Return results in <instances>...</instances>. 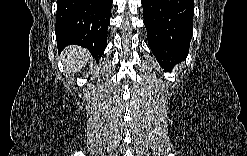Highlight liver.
<instances>
[{
	"instance_id": "obj_1",
	"label": "liver",
	"mask_w": 247,
	"mask_h": 156,
	"mask_svg": "<svg viewBox=\"0 0 247 156\" xmlns=\"http://www.w3.org/2000/svg\"><path fill=\"white\" fill-rule=\"evenodd\" d=\"M63 63L67 71H79L89 60L90 54L79 46H69L63 51Z\"/></svg>"
}]
</instances>
